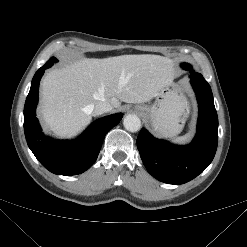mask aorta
Instances as JSON below:
<instances>
[{"label":"aorta","mask_w":247,"mask_h":247,"mask_svg":"<svg viewBox=\"0 0 247 247\" xmlns=\"http://www.w3.org/2000/svg\"><path fill=\"white\" fill-rule=\"evenodd\" d=\"M123 125L129 132H137L141 128V120L135 114H128L124 117Z\"/></svg>","instance_id":"aorta-1"}]
</instances>
